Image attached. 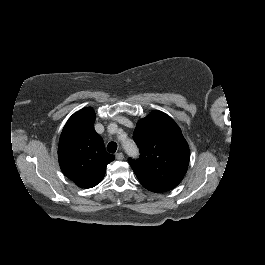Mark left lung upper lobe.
<instances>
[{
	"instance_id": "left-lung-upper-lobe-1",
	"label": "left lung upper lobe",
	"mask_w": 265,
	"mask_h": 265,
	"mask_svg": "<svg viewBox=\"0 0 265 265\" xmlns=\"http://www.w3.org/2000/svg\"><path fill=\"white\" fill-rule=\"evenodd\" d=\"M133 139L140 158L129 163L141 184L153 192L175 188L189 164V146L175 121L161 111H153L138 121Z\"/></svg>"
}]
</instances>
